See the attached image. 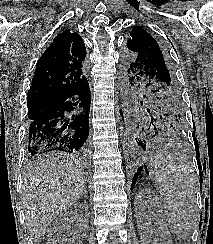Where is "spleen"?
Segmentation results:
<instances>
[{
	"label": "spleen",
	"mask_w": 213,
	"mask_h": 244,
	"mask_svg": "<svg viewBox=\"0 0 213 244\" xmlns=\"http://www.w3.org/2000/svg\"><path fill=\"white\" fill-rule=\"evenodd\" d=\"M161 195L170 230L187 238L196 217V184L188 167L171 153H158L149 164Z\"/></svg>",
	"instance_id": "1"
}]
</instances>
